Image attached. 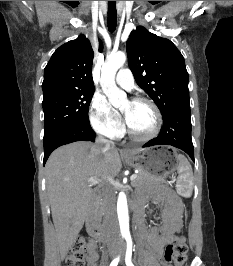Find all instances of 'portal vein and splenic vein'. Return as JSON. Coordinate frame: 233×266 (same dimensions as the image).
<instances>
[{"mask_svg": "<svg viewBox=\"0 0 233 266\" xmlns=\"http://www.w3.org/2000/svg\"><path fill=\"white\" fill-rule=\"evenodd\" d=\"M136 178H137V174H132L131 177H130V180L133 181V180H135ZM88 183H89V185L92 186V185L99 184L100 181H99L98 179H96V178H90V179L88 180Z\"/></svg>", "mask_w": 233, "mask_h": 266, "instance_id": "portal-vein-and-splenic-vein-1", "label": "portal vein and splenic vein"}]
</instances>
